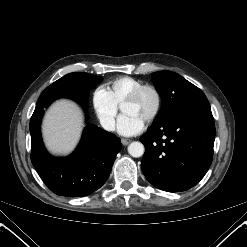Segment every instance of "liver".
I'll return each instance as SVG.
<instances>
[{
  "mask_svg": "<svg viewBox=\"0 0 247 247\" xmlns=\"http://www.w3.org/2000/svg\"><path fill=\"white\" fill-rule=\"evenodd\" d=\"M47 148L55 154H68L78 143L83 129V114L72 101L55 102L43 120Z\"/></svg>",
  "mask_w": 247,
  "mask_h": 247,
  "instance_id": "6515ba94",
  "label": "liver"
}]
</instances>
